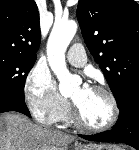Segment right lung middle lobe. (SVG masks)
<instances>
[{
	"mask_svg": "<svg viewBox=\"0 0 139 150\" xmlns=\"http://www.w3.org/2000/svg\"><path fill=\"white\" fill-rule=\"evenodd\" d=\"M36 58L0 51V92L24 98L26 77Z\"/></svg>",
	"mask_w": 139,
	"mask_h": 150,
	"instance_id": "obj_1",
	"label": "right lung middle lobe"
}]
</instances>
